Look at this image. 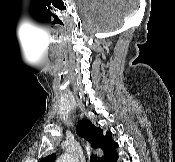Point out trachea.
Returning a JSON list of instances; mask_svg holds the SVG:
<instances>
[{"label":"trachea","mask_w":175,"mask_h":162,"mask_svg":"<svg viewBox=\"0 0 175 162\" xmlns=\"http://www.w3.org/2000/svg\"><path fill=\"white\" fill-rule=\"evenodd\" d=\"M90 162H98L97 156L94 155V154H91V155H90Z\"/></svg>","instance_id":"1"}]
</instances>
